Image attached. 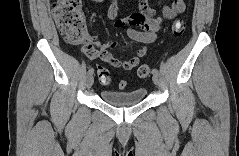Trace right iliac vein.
<instances>
[{
	"instance_id": "obj_1",
	"label": "right iliac vein",
	"mask_w": 239,
	"mask_h": 156,
	"mask_svg": "<svg viewBox=\"0 0 239 156\" xmlns=\"http://www.w3.org/2000/svg\"><path fill=\"white\" fill-rule=\"evenodd\" d=\"M94 83V77L93 75H89L86 81L87 88H91Z\"/></svg>"
}]
</instances>
